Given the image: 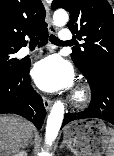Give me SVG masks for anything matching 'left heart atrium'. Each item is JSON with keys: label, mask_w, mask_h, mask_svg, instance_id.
<instances>
[{"label": "left heart atrium", "mask_w": 114, "mask_h": 156, "mask_svg": "<svg viewBox=\"0 0 114 156\" xmlns=\"http://www.w3.org/2000/svg\"><path fill=\"white\" fill-rule=\"evenodd\" d=\"M36 85L48 92L68 88L72 84L73 72L70 65L57 55L37 62L32 70Z\"/></svg>", "instance_id": "obj_1"}]
</instances>
